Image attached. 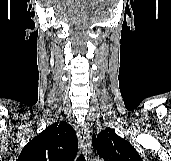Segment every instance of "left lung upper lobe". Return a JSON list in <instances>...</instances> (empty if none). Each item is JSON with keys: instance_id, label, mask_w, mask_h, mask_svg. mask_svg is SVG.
<instances>
[{"instance_id": "1", "label": "left lung upper lobe", "mask_w": 171, "mask_h": 161, "mask_svg": "<svg viewBox=\"0 0 171 161\" xmlns=\"http://www.w3.org/2000/svg\"><path fill=\"white\" fill-rule=\"evenodd\" d=\"M93 146L104 161H142L135 148L111 128L93 135Z\"/></svg>"}]
</instances>
